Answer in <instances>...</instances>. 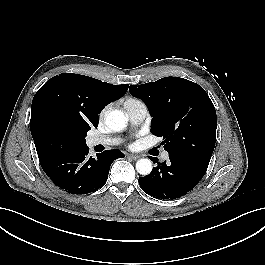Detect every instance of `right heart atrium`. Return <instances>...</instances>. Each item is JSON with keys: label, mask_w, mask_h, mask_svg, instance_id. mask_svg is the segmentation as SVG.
<instances>
[{"label": "right heart atrium", "mask_w": 265, "mask_h": 265, "mask_svg": "<svg viewBox=\"0 0 265 265\" xmlns=\"http://www.w3.org/2000/svg\"><path fill=\"white\" fill-rule=\"evenodd\" d=\"M107 110H108V107H105V108L100 112V117H103V116L106 114Z\"/></svg>", "instance_id": "1"}]
</instances>
